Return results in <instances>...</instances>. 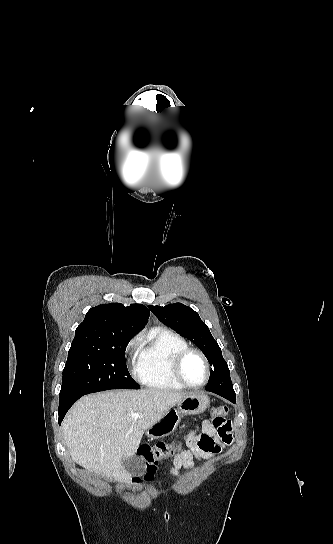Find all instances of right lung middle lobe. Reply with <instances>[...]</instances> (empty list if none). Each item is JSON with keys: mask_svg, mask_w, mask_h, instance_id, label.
<instances>
[{"mask_svg": "<svg viewBox=\"0 0 333 544\" xmlns=\"http://www.w3.org/2000/svg\"><path fill=\"white\" fill-rule=\"evenodd\" d=\"M131 338H117L103 349H70L63 369L60 395L79 396L109 389H139L125 361V349Z\"/></svg>", "mask_w": 333, "mask_h": 544, "instance_id": "dd1d6c3e", "label": "right lung middle lobe"}]
</instances>
